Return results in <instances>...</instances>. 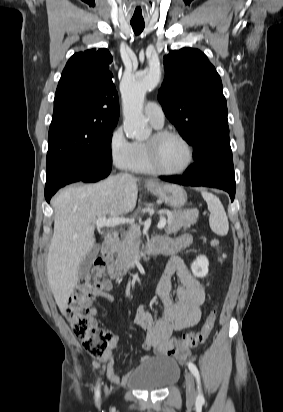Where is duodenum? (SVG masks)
Returning a JSON list of instances; mask_svg holds the SVG:
<instances>
[{
	"label": "duodenum",
	"mask_w": 283,
	"mask_h": 412,
	"mask_svg": "<svg viewBox=\"0 0 283 412\" xmlns=\"http://www.w3.org/2000/svg\"><path fill=\"white\" fill-rule=\"evenodd\" d=\"M118 232L111 231L104 239L100 251V257L106 264V273L112 279H119L123 277L129 270L136 267L137 263L152 255L159 253H171L173 247L169 244L159 242L156 239L148 243L130 262L119 264L116 262L114 254L118 239Z\"/></svg>",
	"instance_id": "duodenum-1"
}]
</instances>
